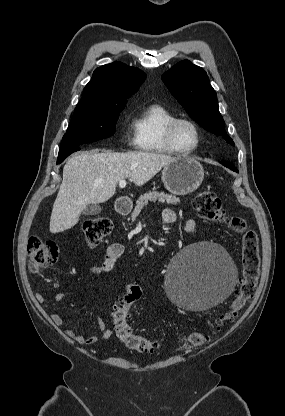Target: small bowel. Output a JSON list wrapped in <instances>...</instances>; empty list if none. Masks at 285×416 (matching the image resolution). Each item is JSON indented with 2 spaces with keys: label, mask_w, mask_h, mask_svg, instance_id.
Instances as JSON below:
<instances>
[{
  "label": "small bowel",
  "mask_w": 285,
  "mask_h": 416,
  "mask_svg": "<svg viewBox=\"0 0 285 416\" xmlns=\"http://www.w3.org/2000/svg\"><path fill=\"white\" fill-rule=\"evenodd\" d=\"M162 220L166 224H172L176 220L175 212L171 209H165L162 213ZM195 229H196L195 222L191 219L187 220L186 225H185V230L189 233H192L195 231ZM123 251H124V247L120 243H111L106 250L102 263L98 266L91 267L89 270L90 273L93 275H98L104 272L111 271L115 267L117 260L123 254ZM64 297H65V294L60 291L54 295V300L56 302H61L64 299ZM36 299L40 304L44 305L46 308L48 307L46 303V299L41 293L36 294ZM50 318L55 325L57 326L63 325V319L58 313L51 312ZM98 328L100 331V338L103 340L110 339L114 334L113 330L111 328H108L105 322L100 318L98 319ZM65 334L71 339H73L74 341H76L77 343L83 344V345H93L99 341L98 336L85 337L81 334L74 332L71 329H66Z\"/></svg>",
  "instance_id": "obj_1"
}]
</instances>
